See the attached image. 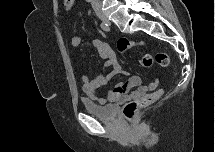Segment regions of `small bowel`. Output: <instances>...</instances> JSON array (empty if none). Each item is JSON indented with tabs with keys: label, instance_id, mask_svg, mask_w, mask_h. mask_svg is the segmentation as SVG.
I'll use <instances>...</instances> for the list:
<instances>
[{
	"label": "small bowel",
	"instance_id": "1",
	"mask_svg": "<svg viewBox=\"0 0 215 152\" xmlns=\"http://www.w3.org/2000/svg\"><path fill=\"white\" fill-rule=\"evenodd\" d=\"M84 42L82 36H74L71 39V46L73 49H78ZM92 45L96 49L99 57L105 61V71L97 77L90 79L88 76H82V89L83 92L90 98L97 102L113 103L118 101H124L127 99H137L147 92L156 89L159 85V81L156 79L148 85H143L139 76H131L125 82L116 83L113 89L109 90L105 96L98 95V90L114 76L127 75L120 68L116 55L107 42H103L98 39L91 41Z\"/></svg>",
	"mask_w": 215,
	"mask_h": 152
}]
</instances>
